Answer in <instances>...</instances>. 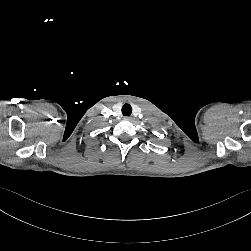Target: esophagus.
Returning a JSON list of instances; mask_svg holds the SVG:
<instances>
[{
	"label": "esophagus",
	"mask_w": 251,
	"mask_h": 251,
	"mask_svg": "<svg viewBox=\"0 0 251 251\" xmlns=\"http://www.w3.org/2000/svg\"><path fill=\"white\" fill-rule=\"evenodd\" d=\"M132 118L131 117H129V116H125L124 117V120H126V121H130Z\"/></svg>",
	"instance_id": "34e87169"
}]
</instances>
